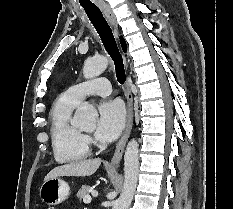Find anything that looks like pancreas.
I'll return each mask as SVG.
<instances>
[{
  "label": "pancreas",
  "mask_w": 233,
  "mask_h": 209,
  "mask_svg": "<svg viewBox=\"0 0 233 209\" xmlns=\"http://www.w3.org/2000/svg\"><path fill=\"white\" fill-rule=\"evenodd\" d=\"M91 187L90 186H82V188L78 191L77 197L79 200L84 199L86 196H89V193L91 192Z\"/></svg>",
  "instance_id": "cf45deb5"
}]
</instances>
